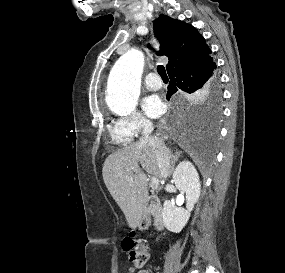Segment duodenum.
I'll use <instances>...</instances> for the list:
<instances>
[{"label":"duodenum","mask_w":285,"mask_h":273,"mask_svg":"<svg viewBox=\"0 0 285 273\" xmlns=\"http://www.w3.org/2000/svg\"><path fill=\"white\" fill-rule=\"evenodd\" d=\"M148 219H153L156 230L160 231L164 228L162 206L159 198L153 195H149L145 199L140 225L144 226L148 222Z\"/></svg>","instance_id":"1"}]
</instances>
